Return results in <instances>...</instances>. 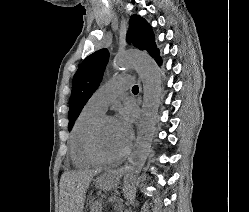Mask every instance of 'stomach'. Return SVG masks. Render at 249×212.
Here are the masks:
<instances>
[{
    "mask_svg": "<svg viewBox=\"0 0 249 212\" xmlns=\"http://www.w3.org/2000/svg\"><path fill=\"white\" fill-rule=\"evenodd\" d=\"M117 175H99V179L97 180L98 184H112L113 180H117Z\"/></svg>",
    "mask_w": 249,
    "mask_h": 212,
    "instance_id": "0dacf381",
    "label": "stomach"
}]
</instances>
